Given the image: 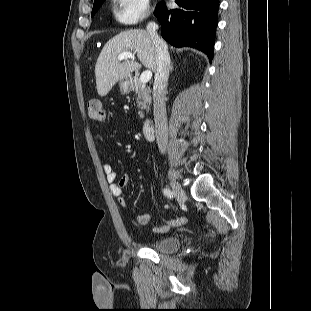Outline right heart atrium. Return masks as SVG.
Listing matches in <instances>:
<instances>
[{
	"label": "right heart atrium",
	"mask_w": 311,
	"mask_h": 311,
	"mask_svg": "<svg viewBox=\"0 0 311 311\" xmlns=\"http://www.w3.org/2000/svg\"><path fill=\"white\" fill-rule=\"evenodd\" d=\"M114 15L117 22L132 28L149 14V0H113Z\"/></svg>",
	"instance_id": "obj_1"
}]
</instances>
